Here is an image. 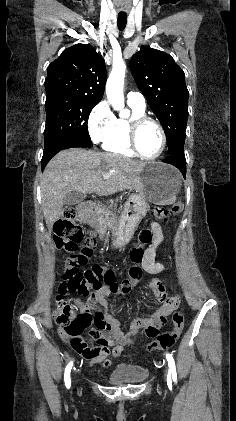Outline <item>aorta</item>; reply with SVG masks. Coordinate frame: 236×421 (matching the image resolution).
Segmentation results:
<instances>
[{
	"mask_svg": "<svg viewBox=\"0 0 236 421\" xmlns=\"http://www.w3.org/2000/svg\"><path fill=\"white\" fill-rule=\"evenodd\" d=\"M125 64L116 70H111L106 82L107 98L115 110H120L124 106L123 82L125 78Z\"/></svg>",
	"mask_w": 236,
	"mask_h": 421,
	"instance_id": "aorta-1",
	"label": "aorta"
}]
</instances>
